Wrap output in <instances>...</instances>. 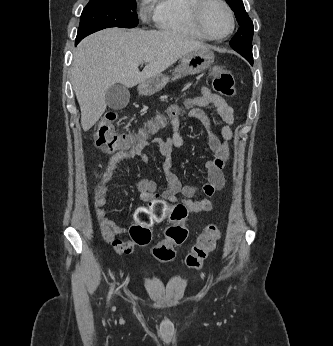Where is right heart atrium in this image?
<instances>
[{
  "label": "right heart atrium",
  "instance_id": "1",
  "mask_svg": "<svg viewBox=\"0 0 333 346\" xmlns=\"http://www.w3.org/2000/svg\"><path fill=\"white\" fill-rule=\"evenodd\" d=\"M151 1L152 0H141V8H142L141 14H142L143 17H145L146 9L149 6Z\"/></svg>",
  "mask_w": 333,
  "mask_h": 346
}]
</instances>
